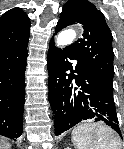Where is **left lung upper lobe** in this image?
Segmentation results:
<instances>
[{
    "label": "left lung upper lobe",
    "mask_w": 124,
    "mask_h": 149,
    "mask_svg": "<svg viewBox=\"0 0 124 149\" xmlns=\"http://www.w3.org/2000/svg\"><path fill=\"white\" fill-rule=\"evenodd\" d=\"M81 24L82 38L68 46L83 61L93 76L113 88L112 34L103 14L87 0H68L56 32L72 24Z\"/></svg>",
    "instance_id": "obj_1"
}]
</instances>
